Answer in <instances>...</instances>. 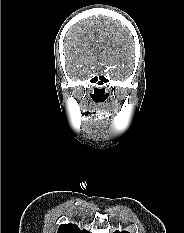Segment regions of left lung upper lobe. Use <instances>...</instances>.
<instances>
[{"label": "left lung upper lobe", "mask_w": 184, "mask_h": 233, "mask_svg": "<svg viewBox=\"0 0 184 233\" xmlns=\"http://www.w3.org/2000/svg\"><path fill=\"white\" fill-rule=\"evenodd\" d=\"M114 233H120V232H119V231H115ZM121 233H129V232L123 231V232H121Z\"/></svg>", "instance_id": "obj_1"}]
</instances>
